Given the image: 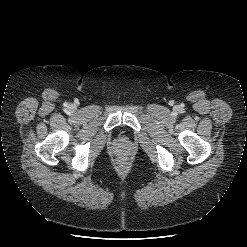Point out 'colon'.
Wrapping results in <instances>:
<instances>
[{
  "mask_svg": "<svg viewBox=\"0 0 247 247\" xmlns=\"http://www.w3.org/2000/svg\"><path fill=\"white\" fill-rule=\"evenodd\" d=\"M127 165H128V161L126 159L119 160V166L120 167L125 168V167H127Z\"/></svg>",
  "mask_w": 247,
  "mask_h": 247,
  "instance_id": "obj_1",
  "label": "colon"
}]
</instances>
